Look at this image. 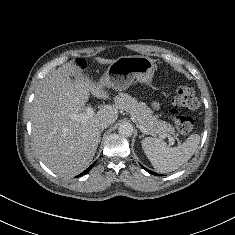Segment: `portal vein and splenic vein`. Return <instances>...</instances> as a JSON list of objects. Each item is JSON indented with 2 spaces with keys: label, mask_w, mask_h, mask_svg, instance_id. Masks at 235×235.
I'll return each mask as SVG.
<instances>
[{
  "label": "portal vein and splenic vein",
  "mask_w": 235,
  "mask_h": 235,
  "mask_svg": "<svg viewBox=\"0 0 235 235\" xmlns=\"http://www.w3.org/2000/svg\"><path fill=\"white\" fill-rule=\"evenodd\" d=\"M94 115V110L92 107H87L85 109V112L83 113H80V114H74V115H71V119L73 120H76V121H83V120H86L90 117H92ZM137 127L140 129L141 132L145 133V134H148V132L146 131V129L140 125V124H137ZM163 137H168L169 139V145H174L175 144V141L173 139V137H171L170 135H164ZM180 144V142H178Z\"/></svg>",
  "instance_id": "18ae733b"
}]
</instances>
